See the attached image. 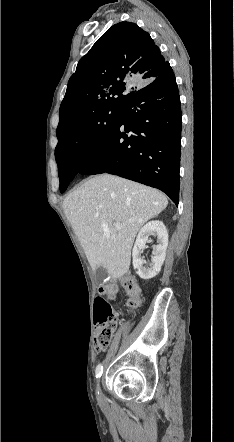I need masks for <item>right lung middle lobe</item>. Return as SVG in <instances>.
<instances>
[{
	"label": "right lung middle lobe",
	"mask_w": 234,
	"mask_h": 442,
	"mask_svg": "<svg viewBox=\"0 0 234 442\" xmlns=\"http://www.w3.org/2000/svg\"><path fill=\"white\" fill-rule=\"evenodd\" d=\"M120 113L121 106L95 111L81 118L69 132L58 138L55 158L61 193L66 190L83 162L108 138Z\"/></svg>",
	"instance_id": "1"
}]
</instances>
